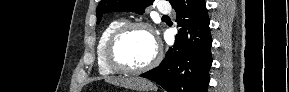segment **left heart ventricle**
<instances>
[{
  "label": "left heart ventricle",
  "mask_w": 289,
  "mask_h": 92,
  "mask_svg": "<svg viewBox=\"0 0 289 92\" xmlns=\"http://www.w3.org/2000/svg\"><path fill=\"white\" fill-rule=\"evenodd\" d=\"M155 49L152 35L145 29L135 28L130 30L120 41L117 55L126 65L141 67L153 58Z\"/></svg>",
  "instance_id": "left-heart-ventricle-1"
}]
</instances>
